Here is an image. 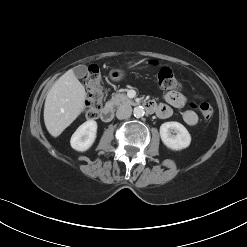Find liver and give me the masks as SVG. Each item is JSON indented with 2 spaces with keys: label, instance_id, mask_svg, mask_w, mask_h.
Here are the masks:
<instances>
[{
  "label": "liver",
  "instance_id": "6515ba94",
  "mask_svg": "<svg viewBox=\"0 0 247 247\" xmlns=\"http://www.w3.org/2000/svg\"><path fill=\"white\" fill-rule=\"evenodd\" d=\"M85 99V88L72 69L55 82L44 105L45 126L53 137H58L81 114Z\"/></svg>",
  "mask_w": 247,
  "mask_h": 247
}]
</instances>
